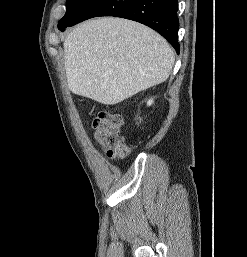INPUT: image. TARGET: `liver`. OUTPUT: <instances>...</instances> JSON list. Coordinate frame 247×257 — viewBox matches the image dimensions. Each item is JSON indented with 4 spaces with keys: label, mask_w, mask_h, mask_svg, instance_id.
<instances>
[{
    "label": "liver",
    "mask_w": 247,
    "mask_h": 257,
    "mask_svg": "<svg viewBox=\"0 0 247 257\" xmlns=\"http://www.w3.org/2000/svg\"><path fill=\"white\" fill-rule=\"evenodd\" d=\"M63 47L70 91L105 105L164 82L175 61L170 45L156 31L114 17L81 23Z\"/></svg>",
    "instance_id": "liver-1"
}]
</instances>
